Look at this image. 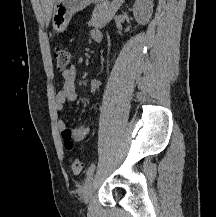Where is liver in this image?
Listing matches in <instances>:
<instances>
[{
    "label": "liver",
    "mask_w": 216,
    "mask_h": 217,
    "mask_svg": "<svg viewBox=\"0 0 216 217\" xmlns=\"http://www.w3.org/2000/svg\"><path fill=\"white\" fill-rule=\"evenodd\" d=\"M57 0H41L43 7L45 8V12L47 15V25L51 19L52 16V11L54 4L56 3Z\"/></svg>",
    "instance_id": "liver-1"
}]
</instances>
